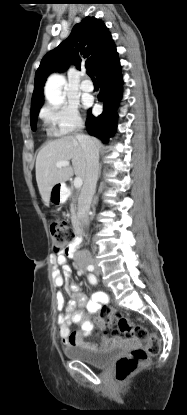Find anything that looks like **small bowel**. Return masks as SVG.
Masks as SVG:
<instances>
[{"label": "small bowel", "mask_w": 187, "mask_h": 415, "mask_svg": "<svg viewBox=\"0 0 187 415\" xmlns=\"http://www.w3.org/2000/svg\"><path fill=\"white\" fill-rule=\"evenodd\" d=\"M68 253H59L52 257L54 265L61 267L62 272L55 269L53 272L54 283L56 286H66L69 293V300L65 307V299L62 293L56 296L58 310L65 312L58 316L59 335L66 346H78L90 351H99L117 342V339L104 337L99 343H89L85 338L92 332L93 323L90 319L102 303H106L108 298L103 292H96L88 299L81 291L76 282L70 280L71 268L67 263ZM79 323L80 329L71 331V324Z\"/></svg>", "instance_id": "c3829d8e"}]
</instances>
